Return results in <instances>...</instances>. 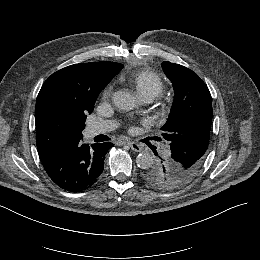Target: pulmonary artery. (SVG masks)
Masks as SVG:
<instances>
[{"instance_id": "e3ab8cb5", "label": "pulmonary artery", "mask_w": 260, "mask_h": 260, "mask_svg": "<svg viewBox=\"0 0 260 260\" xmlns=\"http://www.w3.org/2000/svg\"><path fill=\"white\" fill-rule=\"evenodd\" d=\"M144 103H149L151 100L149 98L141 99ZM115 127L112 121H93L89 122L86 126V136L92 138L94 136L105 134L110 132Z\"/></svg>"}]
</instances>
